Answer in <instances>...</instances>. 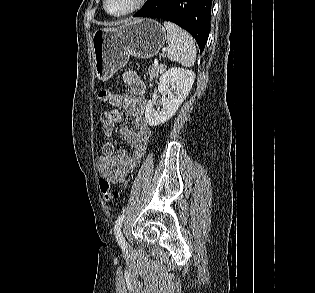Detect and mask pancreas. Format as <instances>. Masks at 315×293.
<instances>
[{
  "label": "pancreas",
  "instance_id": "1",
  "mask_svg": "<svg viewBox=\"0 0 315 293\" xmlns=\"http://www.w3.org/2000/svg\"><path fill=\"white\" fill-rule=\"evenodd\" d=\"M166 70L164 65H153L148 69V75L150 76V80L157 78L159 74H162Z\"/></svg>",
  "mask_w": 315,
  "mask_h": 293
}]
</instances>
